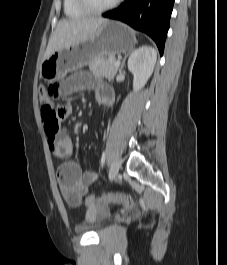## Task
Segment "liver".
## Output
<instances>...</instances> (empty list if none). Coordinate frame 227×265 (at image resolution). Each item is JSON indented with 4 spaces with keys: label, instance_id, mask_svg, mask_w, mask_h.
<instances>
[{
    "label": "liver",
    "instance_id": "6515ba94",
    "mask_svg": "<svg viewBox=\"0 0 227 265\" xmlns=\"http://www.w3.org/2000/svg\"><path fill=\"white\" fill-rule=\"evenodd\" d=\"M107 22V19L94 17H80L59 21L50 37L43 60L57 50L90 39L97 29Z\"/></svg>",
    "mask_w": 227,
    "mask_h": 265
}]
</instances>
